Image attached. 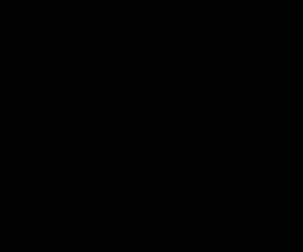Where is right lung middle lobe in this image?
<instances>
[{"label": "right lung middle lobe", "mask_w": 303, "mask_h": 252, "mask_svg": "<svg viewBox=\"0 0 303 252\" xmlns=\"http://www.w3.org/2000/svg\"><path fill=\"white\" fill-rule=\"evenodd\" d=\"M88 126H90V127H92V128H93V127H94V128H97V125L94 124V123H92V122H91V123L89 122V123H88Z\"/></svg>", "instance_id": "obj_1"}]
</instances>
